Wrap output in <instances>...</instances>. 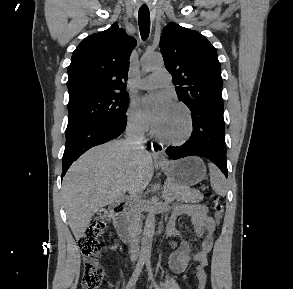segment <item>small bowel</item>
<instances>
[{"label": "small bowel", "mask_w": 293, "mask_h": 289, "mask_svg": "<svg viewBox=\"0 0 293 289\" xmlns=\"http://www.w3.org/2000/svg\"><path fill=\"white\" fill-rule=\"evenodd\" d=\"M186 215L191 218L194 232L201 239L200 249L193 251L190 243L185 240L175 227L177 217ZM215 222L208 215L207 207L203 204L176 205L169 217L166 226L167 234L178 240L177 248L172 252L170 265L173 271L183 272L190 262L196 261V275L199 289H204L206 282L205 267L208 265V254L212 250L215 234Z\"/></svg>", "instance_id": "small-bowel-1"}]
</instances>
